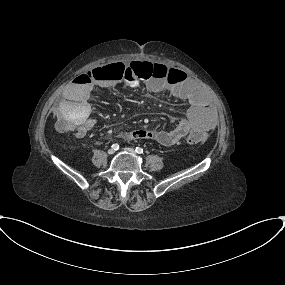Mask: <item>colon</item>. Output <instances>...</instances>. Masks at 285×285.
I'll return each instance as SVG.
<instances>
[{"mask_svg": "<svg viewBox=\"0 0 285 285\" xmlns=\"http://www.w3.org/2000/svg\"><path fill=\"white\" fill-rule=\"evenodd\" d=\"M109 70H114L119 76L123 75L124 66L116 63L109 65ZM128 71L134 74L138 79L143 81H149L151 79H157L166 83H177L181 82L186 78L184 72L168 68L163 64H154L146 61H135L130 64ZM103 77V73L100 71H86L79 72L75 77L77 82L88 84L91 83L93 78L100 79ZM79 121L68 116L62 115L58 118V126L64 131L77 130V125ZM207 135L200 131H192L186 138L188 143H203L207 140Z\"/></svg>", "mask_w": 285, "mask_h": 285, "instance_id": "obj_1", "label": "colon"}]
</instances>
